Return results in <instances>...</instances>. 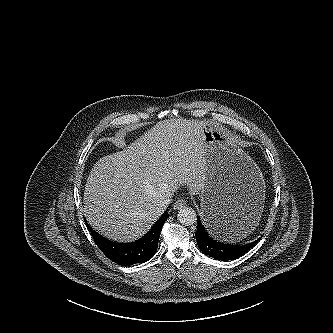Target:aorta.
Segmentation results:
<instances>
[{
    "mask_svg": "<svg viewBox=\"0 0 333 333\" xmlns=\"http://www.w3.org/2000/svg\"><path fill=\"white\" fill-rule=\"evenodd\" d=\"M177 218L181 224L190 226L196 222L197 215L191 207H183L178 211Z\"/></svg>",
    "mask_w": 333,
    "mask_h": 333,
    "instance_id": "762f6f07",
    "label": "aorta"
}]
</instances>
